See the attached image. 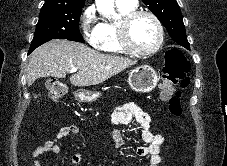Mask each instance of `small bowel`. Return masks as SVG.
Instances as JSON below:
<instances>
[{
    "instance_id": "c3829d8e",
    "label": "small bowel",
    "mask_w": 227,
    "mask_h": 166,
    "mask_svg": "<svg viewBox=\"0 0 227 166\" xmlns=\"http://www.w3.org/2000/svg\"><path fill=\"white\" fill-rule=\"evenodd\" d=\"M111 121L115 124H127L135 119L141 126V139L145 146L137 148V155L140 157H149L148 166H159L161 164L160 149L164 143V137L154 133L153 118L135 103H124L116 106L111 113ZM80 129L76 125H68L60 128L53 139L46 140L43 144L37 146L32 152V166H42L40 157L45 153L58 154L60 147L58 141L71 135H77ZM114 139L115 146L121 147L122 139L116 131H110ZM81 161V154L74 153L71 158V164L77 165Z\"/></svg>"
}]
</instances>
